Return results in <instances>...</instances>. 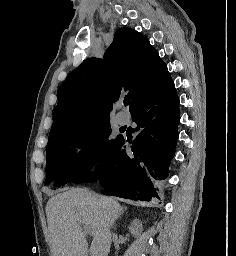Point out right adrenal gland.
Instances as JSON below:
<instances>
[{
    "mask_svg": "<svg viewBox=\"0 0 236 256\" xmlns=\"http://www.w3.org/2000/svg\"><path fill=\"white\" fill-rule=\"evenodd\" d=\"M123 210H126V208H123ZM119 218H120V216H119ZM114 230H116V224H115V226H114Z\"/></svg>",
    "mask_w": 236,
    "mask_h": 256,
    "instance_id": "obj_1",
    "label": "right adrenal gland"
}]
</instances>
